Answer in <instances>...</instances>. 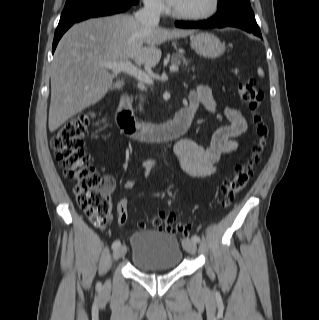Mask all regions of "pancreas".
Segmentation results:
<instances>
[{
	"mask_svg": "<svg viewBox=\"0 0 319 320\" xmlns=\"http://www.w3.org/2000/svg\"><path fill=\"white\" fill-rule=\"evenodd\" d=\"M171 64L175 65V66H180L181 64L183 65V67L185 68H190L192 71L194 70V67L190 66L191 65V60H188L184 57L183 54L180 53H175L172 55L171 57Z\"/></svg>",
	"mask_w": 319,
	"mask_h": 320,
	"instance_id": "obj_1",
	"label": "pancreas"
}]
</instances>
